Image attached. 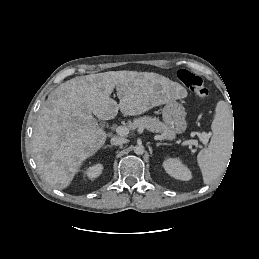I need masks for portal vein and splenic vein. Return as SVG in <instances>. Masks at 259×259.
<instances>
[{
    "mask_svg": "<svg viewBox=\"0 0 259 259\" xmlns=\"http://www.w3.org/2000/svg\"><path fill=\"white\" fill-rule=\"evenodd\" d=\"M129 130H130V128L127 127V126H118V127L116 128V132H117V134H119V135H127V134H129ZM200 136H201V138H202V139H201V140H202V143H203L204 145H207V144H208V141H209V134H207V133H202ZM160 138H161V136H156V139H160ZM183 144H185V145H188V144L197 145V144H198V141L195 140V139L186 140V141L183 142Z\"/></svg>",
    "mask_w": 259,
    "mask_h": 259,
    "instance_id": "obj_1",
    "label": "portal vein and splenic vein"
}]
</instances>
